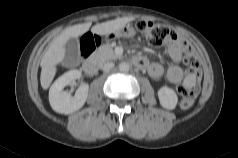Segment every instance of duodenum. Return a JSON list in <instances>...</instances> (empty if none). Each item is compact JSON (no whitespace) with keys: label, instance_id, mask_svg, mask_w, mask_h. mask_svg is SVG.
I'll return each instance as SVG.
<instances>
[{"label":"duodenum","instance_id":"410a0bca","mask_svg":"<svg viewBox=\"0 0 238 158\" xmlns=\"http://www.w3.org/2000/svg\"><path fill=\"white\" fill-rule=\"evenodd\" d=\"M134 64L139 68H145L146 67L145 60H143L141 58H135L134 59ZM83 70L85 71L86 74L93 75L98 70V63L93 59H88L83 64Z\"/></svg>","mask_w":238,"mask_h":158}]
</instances>
